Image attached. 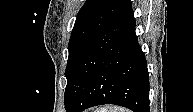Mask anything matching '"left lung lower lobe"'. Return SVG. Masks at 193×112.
<instances>
[{"label":"left lung lower lobe","mask_w":193,"mask_h":112,"mask_svg":"<svg viewBox=\"0 0 193 112\" xmlns=\"http://www.w3.org/2000/svg\"><path fill=\"white\" fill-rule=\"evenodd\" d=\"M149 76L135 34L130 3L88 45L67 81V112L115 104L134 112H150Z\"/></svg>","instance_id":"obj_1"}]
</instances>
